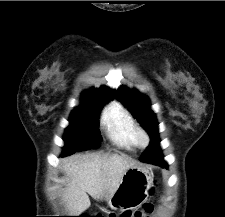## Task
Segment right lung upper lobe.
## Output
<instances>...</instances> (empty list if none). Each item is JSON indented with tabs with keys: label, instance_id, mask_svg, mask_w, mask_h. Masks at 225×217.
<instances>
[{
	"label": "right lung upper lobe",
	"instance_id": "1",
	"mask_svg": "<svg viewBox=\"0 0 225 217\" xmlns=\"http://www.w3.org/2000/svg\"><path fill=\"white\" fill-rule=\"evenodd\" d=\"M83 96L92 99H112L115 97V92L106 86H101L99 89L92 88L89 92L84 93Z\"/></svg>",
	"mask_w": 225,
	"mask_h": 217
}]
</instances>
